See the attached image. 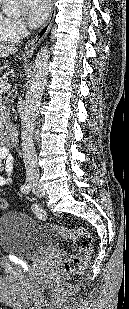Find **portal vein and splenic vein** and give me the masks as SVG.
I'll return each instance as SVG.
<instances>
[{"label": "portal vein and splenic vein", "mask_w": 129, "mask_h": 309, "mask_svg": "<svg viewBox=\"0 0 129 309\" xmlns=\"http://www.w3.org/2000/svg\"><path fill=\"white\" fill-rule=\"evenodd\" d=\"M0 87L9 89L11 87V84L10 83H2V84H0Z\"/></svg>", "instance_id": "obj_1"}]
</instances>
